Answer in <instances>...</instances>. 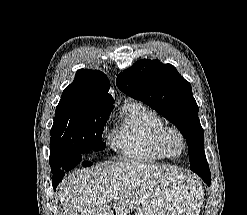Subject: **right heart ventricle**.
<instances>
[{
    "instance_id": "right-heart-ventricle-1",
    "label": "right heart ventricle",
    "mask_w": 247,
    "mask_h": 215,
    "mask_svg": "<svg viewBox=\"0 0 247 215\" xmlns=\"http://www.w3.org/2000/svg\"><path fill=\"white\" fill-rule=\"evenodd\" d=\"M164 125L162 118L143 104L127 103L110 141L125 160L142 163L160 161L167 158L157 141L158 132Z\"/></svg>"
}]
</instances>
